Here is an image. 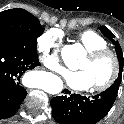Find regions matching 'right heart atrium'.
Returning <instances> with one entry per match:
<instances>
[{"mask_svg": "<svg viewBox=\"0 0 124 124\" xmlns=\"http://www.w3.org/2000/svg\"><path fill=\"white\" fill-rule=\"evenodd\" d=\"M36 48L42 63L49 69H60V35L55 30L43 32L36 41Z\"/></svg>", "mask_w": 124, "mask_h": 124, "instance_id": "obj_1", "label": "right heart atrium"}]
</instances>
